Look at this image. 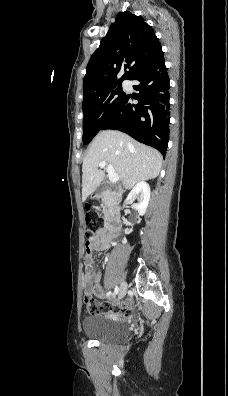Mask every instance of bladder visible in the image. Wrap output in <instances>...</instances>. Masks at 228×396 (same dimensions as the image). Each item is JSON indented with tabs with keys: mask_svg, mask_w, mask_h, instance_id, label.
Instances as JSON below:
<instances>
[{
	"mask_svg": "<svg viewBox=\"0 0 228 396\" xmlns=\"http://www.w3.org/2000/svg\"><path fill=\"white\" fill-rule=\"evenodd\" d=\"M82 326L87 337L107 343L123 341L130 335L125 322L101 314L87 316Z\"/></svg>",
	"mask_w": 228,
	"mask_h": 396,
	"instance_id": "obj_1",
	"label": "bladder"
}]
</instances>
